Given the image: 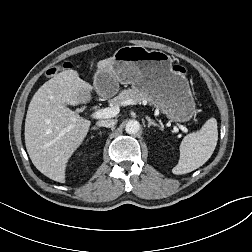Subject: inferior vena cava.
Segmentation results:
<instances>
[{"mask_svg": "<svg viewBox=\"0 0 252 252\" xmlns=\"http://www.w3.org/2000/svg\"><path fill=\"white\" fill-rule=\"evenodd\" d=\"M116 123H117V120L115 119H106V120H100L99 122H97V125L110 128V127L115 126Z\"/></svg>", "mask_w": 252, "mask_h": 252, "instance_id": "1", "label": "inferior vena cava"}]
</instances>
